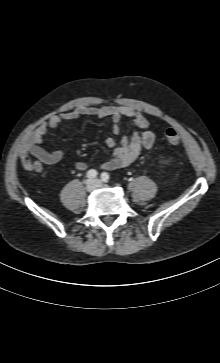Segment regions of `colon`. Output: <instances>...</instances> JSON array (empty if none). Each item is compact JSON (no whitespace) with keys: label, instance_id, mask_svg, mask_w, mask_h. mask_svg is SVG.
Wrapping results in <instances>:
<instances>
[{"label":"colon","instance_id":"1","mask_svg":"<svg viewBox=\"0 0 220 363\" xmlns=\"http://www.w3.org/2000/svg\"><path fill=\"white\" fill-rule=\"evenodd\" d=\"M165 138L170 145H177L180 142V135L172 128L166 130Z\"/></svg>","mask_w":220,"mask_h":363}]
</instances>
